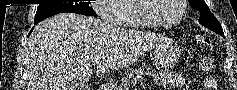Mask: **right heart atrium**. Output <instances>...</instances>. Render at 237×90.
<instances>
[{
	"label": "right heart atrium",
	"mask_w": 237,
	"mask_h": 90,
	"mask_svg": "<svg viewBox=\"0 0 237 90\" xmlns=\"http://www.w3.org/2000/svg\"><path fill=\"white\" fill-rule=\"evenodd\" d=\"M122 2L123 0H96V2H92L90 10L98 12L100 20H113V15L108 13L112 11V8H106V6H118Z\"/></svg>",
	"instance_id": "obj_1"
}]
</instances>
